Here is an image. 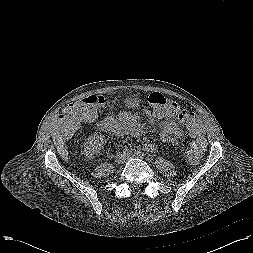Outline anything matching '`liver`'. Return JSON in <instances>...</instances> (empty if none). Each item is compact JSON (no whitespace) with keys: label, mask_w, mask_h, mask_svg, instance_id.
I'll return each instance as SVG.
<instances>
[{"label":"liver","mask_w":253,"mask_h":253,"mask_svg":"<svg viewBox=\"0 0 253 253\" xmlns=\"http://www.w3.org/2000/svg\"><path fill=\"white\" fill-rule=\"evenodd\" d=\"M50 134L52 136L53 142L57 148V151L63 158H67V151L65 150V140L61 134L59 123L57 118H55L50 125Z\"/></svg>","instance_id":"liver-1"}]
</instances>
